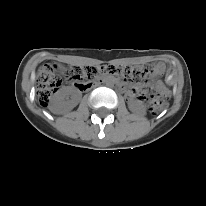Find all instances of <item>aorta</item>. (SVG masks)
Returning a JSON list of instances; mask_svg holds the SVG:
<instances>
[{"instance_id": "1", "label": "aorta", "mask_w": 206, "mask_h": 206, "mask_svg": "<svg viewBox=\"0 0 206 206\" xmlns=\"http://www.w3.org/2000/svg\"><path fill=\"white\" fill-rule=\"evenodd\" d=\"M105 83H106V86L108 87L114 86V82L111 78H108Z\"/></svg>"}]
</instances>
